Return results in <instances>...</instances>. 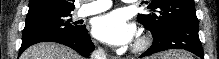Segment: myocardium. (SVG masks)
<instances>
[{
    "label": "myocardium",
    "instance_id": "myocardium-1",
    "mask_svg": "<svg viewBox=\"0 0 219 59\" xmlns=\"http://www.w3.org/2000/svg\"><path fill=\"white\" fill-rule=\"evenodd\" d=\"M148 45V41L147 39H140L137 41V43L135 44V51H141L144 50Z\"/></svg>",
    "mask_w": 219,
    "mask_h": 59
}]
</instances>
